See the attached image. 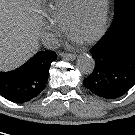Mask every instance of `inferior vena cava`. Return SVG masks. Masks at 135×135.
I'll return each instance as SVG.
<instances>
[{"label": "inferior vena cava", "instance_id": "1", "mask_svg": "<svg viewBox=\"0 0 135 135\" xmlns=\"http://www.w3.org/2000/svg\"><path fill=\"white\" fill-rule=\"evenodd\" d=\"M41 41L47 49H57L60 47L59 39L52 33H44L41 36Z\"/></svg>", "mask_w": 135, "mask_h": 135}]
</instances>
